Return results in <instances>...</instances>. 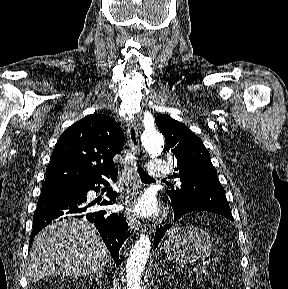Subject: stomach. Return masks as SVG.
Here are the masks:
<instances>
[{"instance_id": "0dacf381", "label": "stomach", "mask_w": 288, "mask_h": 289, "mask_svg": "<svg viewBox=\"0 0 288 289\" xmlns=\"http://www.w3.org/2000/svg\"><path fill=\"white\" fill-rule=\"evenodd\" d=\"M163 248L166 257L173 262L194 263L209 256L212 240L202 229L185 226L171 230Z\"/></svg>"}]
</instances>
